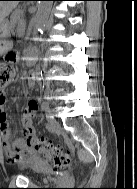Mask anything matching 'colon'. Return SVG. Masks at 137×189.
I'll use <instances>...</instances> for the list:
<instances>
[{
  "mask_svg": "<svg viewBox=\"0 0 137 189\" xmlns=\"http://www.w3.org/2000/svg\"><path fill=\"white\" fill-rule=\"evenodd\" d=\"M15 60V55L13 52H9L6 55V60L0 62V92L2 88L10 83L15 76V70L13 68V61ZM37 109V102L30 101L28 103V110L30 112H35ZM34 149L37 151L44 159L51 162L58 169H65L70 165V155L67 151L62 148L55 146L52 142L45 140H37L34 143Z\"/></svg>",
  "mask_w": 137,
  "mask_h": 189,
  "instance_id": "colon-1",
  "label": "colon"
}]
</instances>
